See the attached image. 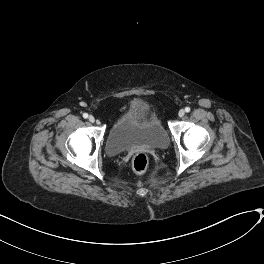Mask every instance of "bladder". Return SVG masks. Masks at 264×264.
Wrapping results in <instances>:
<instances>
[{"mask_svg":"<svg viewBox=\"0 0 264 264\" xmlns=\"http://www.w3.org/2000/svg\"><path fill=\"white\" fill-rule=\"evenodd\" d=\"M148 106L138 104L136 112H125L110 129L105 150L116 156L134 147L146 149H166L169 145L167 131L156 115H147Z\"/></svg>","mask_w":264,"mask_h":264,"instance_id":"obj_1","label":"bladder"}]
</instances>
